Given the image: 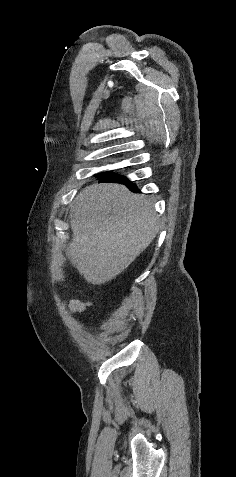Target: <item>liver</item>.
Listing matches in <instances>:
<instances>
[{
  "instance_id": "liver-1",
  "label": "liver",
  "mask_w": 236,
  "mask_h": 477,
  "mask_svg": "<svg viewBox=\"0 0 236 477\" xmlns=\"http://www.w3.org/2000/svg\"><path fill=\"white\" fill-rule=\"evenodd\" d=\"M66 254L88 283L122 273L153 241L158 217L152 202L121 184H92L74 200Z\"/></svg>"
}]
</instances>
